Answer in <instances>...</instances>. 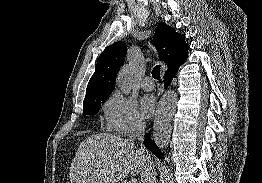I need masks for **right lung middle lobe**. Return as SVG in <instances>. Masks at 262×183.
I'll return each instance as SVG.
<instances>
[{"label": "right lung middle lobe", "mask_w": 262, "mask_h": 183, "mask_svg": "<svg viewBox=\"0 0 262 183\" xmlns=\"http://www.w3.org/2000/svg\"><path fill=\"white\" fill-rule=\"evenodd\" d=\"M108 98H101L97 100L83 102V114L84 115H94L96 114L102 103H104Z\"/></svg>", "instance_id": "dd1d6c3e"}]
</instances>
